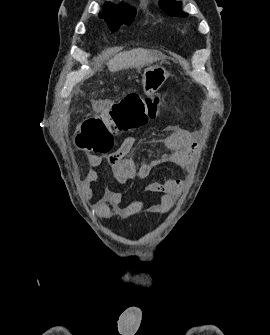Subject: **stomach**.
<instances>
[{"label": "stomach", "mask_w": 270, "mask_h": 335, "mask_svg": "<svg viewBox=\"0 0 270 335\" xmlns=\"http://www.w3.org/2000/svg\"><path fill=\"white\" fill-rule=\"evenodd\" d=\"M168 72L163 66H148L142 74V88L145 96H153L164 84Z\"/></svg>", "instance_id": "stomach-1"}]
</instances>
